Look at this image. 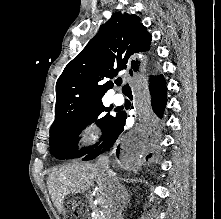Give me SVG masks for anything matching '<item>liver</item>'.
<instances>
[{
    "instance_id": "obj_1",
    "label": "liver",
    "mask_w": 221,
    "mask_h": 219,
    "mask_svg": "<svg viewBox=\"0 0 221 219\" xmlns=\"http://www.w3.org/2000/svg\"><path fill=\"white\" fill-rule=\"evenodd\" d=\"M94 182L97 184L98 201L108 211L115 198V188L124 190L125 187L121 185L116 174L114 176L102 174L97 162H74L56 168L48 176L47 187L54 206L62 213L64 198L67 195L84 193Z\"/></svg>"
}]
</instances>
